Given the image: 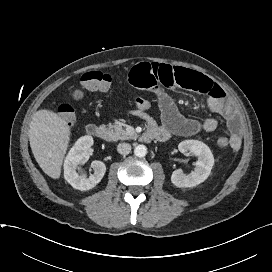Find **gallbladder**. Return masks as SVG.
I'll return each mask as SVG.
<instances>
[{
  "label": "gallbladder",
  "mask_w": 272,
  "mask_h": 272,
  "mask_svg": "<svg viewBox=\"0 0 272 272\" xmlns=\"http://www.w3.org/2000/svg\"><path fill=\"white\" fill-rule=\"evenodd\" d=\"M74 97H75L76 99L81 98V97H82V92L76 91L75 94H74Z\"/></svg>",
  "instance_id": "gallbladder-1"
}]
</instances>
